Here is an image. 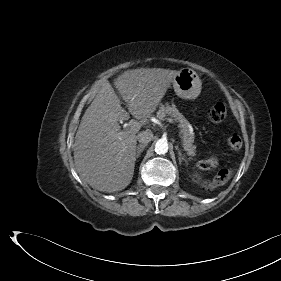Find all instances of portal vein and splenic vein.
<instances>
[{"label": "portal vein and splenic vein", "instance_id": "portal-vein-and-splenic-vein-1", "mask_svg": "<svg viewBox=\"0 0 281 281\" xmlns=\"http://www.w3.org/2000/svg\"><path fill=\"white\" fill-rule=\"evenodd\" d=\"M165 120H166L167 122H169V123L175 125V122H174L173 119H171V118H166ZM130 125H131V126H130V131H132V132H138V131L140 130L141 126H142V124H141L140 122H132ZM119 134L121 135V134H123V133L120 132Z\"/></svg>", "mask_w": 281, "mask_h": 281}]
</instances>
